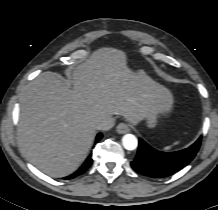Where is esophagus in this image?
<instances>
[{
	"mask_svg": "<svg viewBox=\"0 0 218 210\" xmlns=\"http://www.w3.org/2000/svg\"><path fill=\"white\" fill-rule=\"evenodd\" d=\"M116 131L119 133V134H124V133H127L130 131V127L128 124L126 123H120L118 124L117 128H116Z\"/></svg>",
	"mask_w": 218,
	"mask_h": 210,
	"instance_id": "1",
	"label": "esophagus"
}]
</instances>
